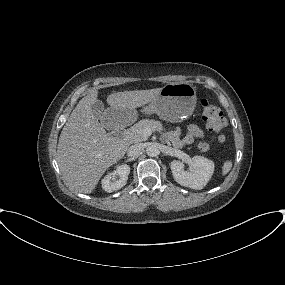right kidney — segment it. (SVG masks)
Listing matches in <instances>:
<instances>
[{"label": "right kidney", "mask_w": 285, "mask_h": 285, "mask_svg": "<svg viewBox=\"0 0 285 285\" xmlns=\"http://www.w3.org/2000/svg\"><path fill=\"white\" fill-rule=\"evenodd\" d=\"M130 167L127 164L119 166L116 171L109 173L102 179V188L107 193L117 191L124 187L128 180ZM119 179H116V177Z\"/></svg>", "instance_id": "right-kidney-1"}]
</instances>
